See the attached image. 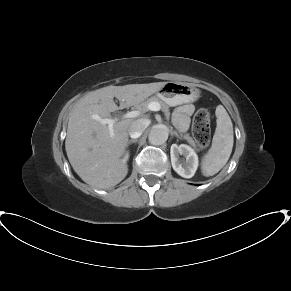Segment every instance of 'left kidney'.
<instances>
[{"label": "left kidney", "instance_id": "5707ae66", "mask_svg": "<svg viewBox=\"0 0 291 291\" xmlns=\"http://www.w3.org/2000/svg\"><path fill=\"white\" fill-rule=\"evenodd\" d=\"M180 155L185 157V161L180 159ZM171 163L174 171L183 178L194 176L199 160L195 150L186 144H172L170 149Z\"/></svg>", "mask_w": 291, "mask_h": 291}]
</instances>
